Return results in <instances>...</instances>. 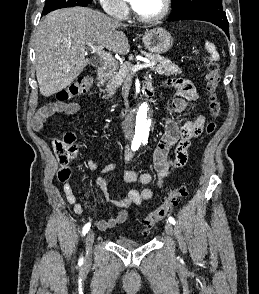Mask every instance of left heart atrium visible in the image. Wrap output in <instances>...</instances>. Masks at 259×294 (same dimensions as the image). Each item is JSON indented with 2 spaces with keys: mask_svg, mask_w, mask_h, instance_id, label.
Instances as JSON below:
<instances>
[{
  "mask_svg": "<svg viewBox=\"0 0 259 294\" xmlns=\"http://www.w3.org/2000/svg\"><path fill=\"white\" fill-rule=\"evenodd\" d=\"M135 1H137V0H131L132 3L135 2Z\"/></svg>",
  "mask_w": 259,
  "mask_h": 294,
  "instance_id": "obj_1",
  "label": "left heart atrium"
}]
</instances>
